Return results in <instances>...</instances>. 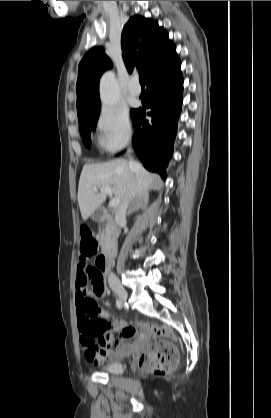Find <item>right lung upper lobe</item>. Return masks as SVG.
<instances>
[{
    "mask_svg": "<svg viewBox=\"0 0 271 418\" xmlns=\"http://www.w3.org/2000/svg\"><path fill=\"white\" fill-rule=\"evenodd\" d=\"M123 60L129 72L137 68L147 82L174 61L178 60L176 47L158 22L135 15L122 31ZM111 68V61L101 47L88 51L78 67L77 113L86 114L100 106L99 79Z\"/></svg>",
    "mask_w": 271,
    "mask_h": 418,
    "instance_id": "cb5924a9",
    "label": "right lung upper lobe"
}]
</instances>
